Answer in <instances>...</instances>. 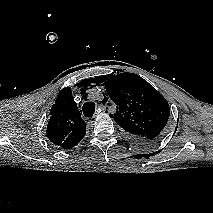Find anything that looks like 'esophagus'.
Here are the masks:
<instances>
[{
  "label": "esophagus",
  "mask_w": 213,
  "mask_h": 213,
  "mask_svg": "<svg viewBox=\"0 0 213 213\" xmlns=\"http://www.w3.org/2000/svg\"><path fill=\"white\" fill-rule=\"evenodd\" d=\"M99 108H101L103 112H105L107 110L106 106L102 105V104L99 105ZM94 118H95V116L92 117L91 119H89L88 123H92Z\"/></svg>",
  "instance_id": "1"
}]
</instances>
